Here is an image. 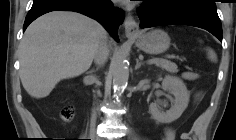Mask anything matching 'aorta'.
<instances>
[{
	"label": "aorta",
	"mask_w": 236,
	"mask_h": 140,
	"mask_svg": "<svg viewBox=\"0 0 236 140\" xmlns=\"http://www.w3.org/2000/svg\"><path fill=\"white\" fill-rule=\"evenodd\" d=\"M127 55L120 52L113 63V86L116 95L120 96L127 86L129 78V70L127 66Z\"/></svg>",
	"instance_id": "1"
}]
</instances>
